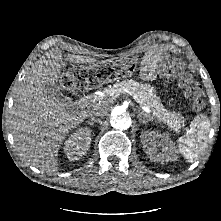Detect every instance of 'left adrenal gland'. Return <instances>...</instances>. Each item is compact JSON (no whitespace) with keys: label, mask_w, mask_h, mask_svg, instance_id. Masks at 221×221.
Instances as JSON below:
<instances>
[{"label":"left adrenal gland","mask_w":221,"mask_h":221,"mask_svg":"<svg viewBox=\"0 0 221 221\" xmlns=\"http://www.w3.org/2000/svg\"><path fill=\"white\" fill-rule=\"evenodd\" d=\"M144 116H145L146 119L141 118L142 117L141 113H139L138 116H137L141 123H146V122H149V121L152 120V118H150L147 114H145Z\"/></svg>","instance_id":"obj_1"}]
</instances>
